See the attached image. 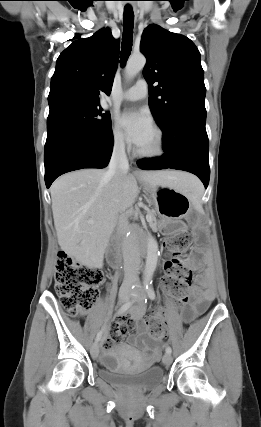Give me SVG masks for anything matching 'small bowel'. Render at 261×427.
Masks as SVG:
<instances>
[{
    "mask_svg": "<svg viewBox=\"0 0 261 427\" xmlns=\"http://www.w3.org/2000/svg\"><path fill=\"white\" fill-rule=\"evenodd\" d=\"M169 260L164 262L165 276L167 275V264ZM185 263L188 266L197 268L194 257H189ZM165 276L163 278H165ZM199 283L202 289L194 290L195 301L191 306L184 311V319L186 321L192 320L197 314L203 312L207 304L214 298V285L209 275L204 274L199 278ZM145 313L144 306L134 307L130 310L128 315L120 317L113 326L112 335L107 337L103 342V348L109 349L117 341L118 337H122L127 334L129 329L131 331H138L137 334L129 335L127 340L128 343L135 347L133 355L136 359L141 360V351L146 353V362L153 364L159 360L160 349L158 342L163 338L161 335L158 338L147 337L144 331L145 325L142 322V317Z\"/></svg>",
    "mask_w": 261,
    "mask_h": 427,
    "instance_id": "small-bowel-1",
    "label": "small bowel"
}]
</instances>
